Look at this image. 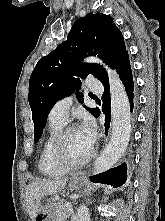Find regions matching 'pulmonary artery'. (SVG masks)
Wrapping results in <instances>:
<instances>
[{
    "mask_svg": "<svg viewBox=\"0 0 165 221\" xmlns=\"http://www.w3.org/2000/svg\"><path fill=\"white\" fill-rule=\"evenodd\" d=\"M87 87L91 91L100 92L101 85L94 79H90ZM73 103L72 96H65L58 100L49 113V120L53 122L66 123L68 120V112Z\"/></svg>",
    "mask_w": 165,
    "mask_h": 221,
    "instance_id": "obj_1",
    "label": "pulmonary artery"
}]
</instances>
